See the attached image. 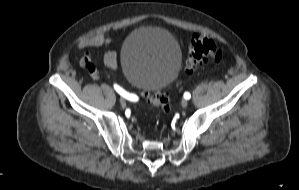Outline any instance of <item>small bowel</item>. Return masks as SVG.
Wrapping results in <instances>:
<instances>
[{
	"label": "small bowel",
	"mask_w": 299,
	"mask_h": 190,
	"mask_svg": "<svg viewBox=\"0 0 299 190\" xmlns=\"http://www.w3.org/2000/svg\"><path fill=\"white\" fill-rule=\"evenodd\" d=\"M110 44V37L107 34L99 33L94 36L84 38L80 46L86 48L85 55L91 56V49L94 48H107ZM104 64L112 69L118 68V58L117 54L110 50H105L103 54ZM93 78L97 77L96 71L91 74Z\"/></svg>",
	"instance_id": "c3829d8e"
}]
</instances>
